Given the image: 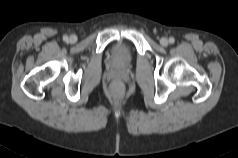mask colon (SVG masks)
Wrapping results in <instances>:
<instances>
[{"label": "colon", "mask_w": 238, "mask_h": 158, "mask_svg": "<svg viewBox=\"0 0 238 158\" xmlns=\"http://www.w3.org/2000/svg\"><path fill=\"white\" fill-rule=\"evenodd\" d=\"M123 93H124L123 85L120 82L115 81L110 87L111 96L113 98L119 99L123 96Z\"/></svg>", "instance_id": "5ec220e1"}]
</instances>
